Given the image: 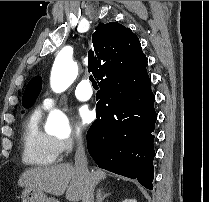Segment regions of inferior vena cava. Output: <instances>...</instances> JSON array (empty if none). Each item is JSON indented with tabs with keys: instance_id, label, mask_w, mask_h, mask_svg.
I'll list each match as a JSON object with an SVG mask.
<instances>
[{
	"instance_id": "obj_1",
	"label": "inferior vena cava",
	"mask_w": 209,
	"mask_h": 202,
	"mask_svg": "<svg viewBox=\"0 0 209 202\" xmlns=\"http://www.w3.org/2000/svg\"><path fill=\"white\" fill-rule=\"evenodd\" d=\"M74 168L83 179L82 202H93L95 185L88 170L85 149L81 139H77Z\"/></svg>"
}]
</instances>
